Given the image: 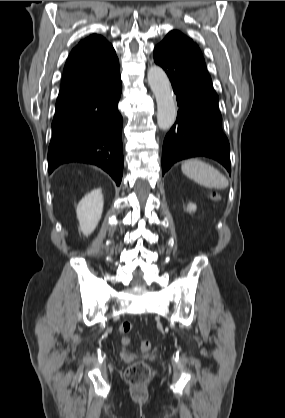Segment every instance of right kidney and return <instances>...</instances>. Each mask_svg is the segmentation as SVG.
<instances>
[{"label":"right kidney","instance_id":"1","mask_svg":"<svg viewBox=\"0 0 285 418\" xmlns=\"http://www.w3.org/2000/svg\"><path fill=\"white\" fill-rule=\"evenodd\" d=\"M103 212L102 190L95 189L85 195L76 208V214L80 225V231L90 235L98 225Z\"/></svg>","mask_w":285,"mask_h":418}]
</instances>
